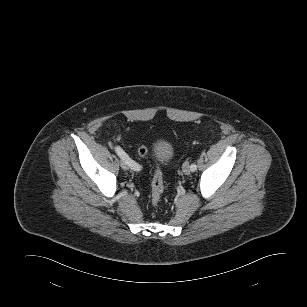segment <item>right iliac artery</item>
Returning a JSON list of instances; mask_svg holds the SVG:
<instances>
[{
  "label": "right iliac artery",
  "instance_id": "82829eb1",
  "mask_svg": "<svg viewBox=\"0 0 307 307\" xmlns=\"http://www.w3.org/2000/svg\"><path fill=\"white\" fill-rule=\"evenodd\" d=\"M115 152L117 153V155L126 162V164L134 171H138L140 170V165L138 163H136L135 161H133L125 152L124 150L119 147L116 146L115 147Z\"/></svg>",
  "mask_w": 307,
  "mask_h": 307
}]
</instances>
